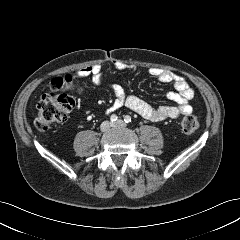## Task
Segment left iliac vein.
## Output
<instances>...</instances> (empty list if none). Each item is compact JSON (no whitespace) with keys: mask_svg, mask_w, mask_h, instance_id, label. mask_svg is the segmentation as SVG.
<instances>
[{"mask_svg":"<svg viewBox=\"0 0 240 240\" xmlns=\"http://www.w3.org/2000/svg\"><path fill=\"white\" fill-rule=\"evenodd\" d=\"M113 127H125V123L122 120H118L112 124Z\"/></svg>","mask_w":240,"mask_h":240,"instance_id":"obj_1","label":"left iliac vein"}]
</instances>
